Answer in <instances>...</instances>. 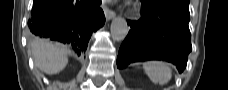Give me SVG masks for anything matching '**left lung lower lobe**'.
I'll list each match as a JSON object with an SVG mask.
<instances>
[{
    "label": "left lung lower lobe",
    "mask_w": 228,
    "mask_h": 90,
    "mask_svg": "<svg viewBox=\"0 0 228 90\" xmlns=\"http://www.w3.org/2000/svg\"><path fill=\"white\" fill-rule=\"evenodd\" d=\"M143 17L128 20L131 27L121 45L117 67L124 68L135 61L162 59L182 72L192 50L189 30V11L174 10L168 1L140 0Z\"/></svg>",
    "instance_id": "1"
}]
</instances>
